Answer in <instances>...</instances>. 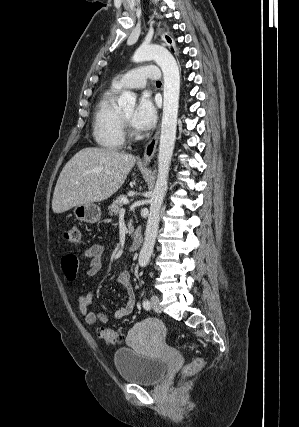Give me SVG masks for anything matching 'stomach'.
<instances>
[{"mask_svg": "<svg viewBox=\"0 0 299 427\" xmlns=\"http://www.w3.org/2000/svg\"><path fill=\"white\" fill-rule=\"evenodd\" d=\"M73 214L76 219L91 224L96 223L101 219V209L94 203L75 206Z\"/></svg>", "mask_w": 299, "mask_h": 427, "instance_id": "stomach-1", "label": "stomach"}]
</instances>
